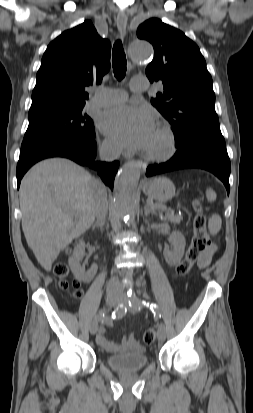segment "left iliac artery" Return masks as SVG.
<instances>
[{"label": "left iliac artery", "mask_w": 253, "mask_h": 413, "mask_svg": "<svg viewBox=\"0 0 253 413\" xmlns=\"http://www.w3.org/2000/svg\"><path fill=\"white\" fill-rule=\"evenodd\" d=\"M147 299H148V296H145V300L141 301L132 291H129L128 293V303L130 307L134 309H137V308L140 309L142 305H145L150 308V310L154 313V315L161 317V311L159 307L153 303L149 304Z\"/></svg>", "instance_id": "1"}]
</instances>
